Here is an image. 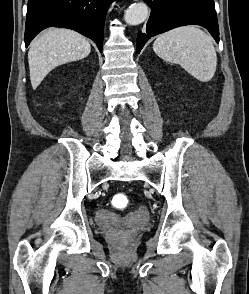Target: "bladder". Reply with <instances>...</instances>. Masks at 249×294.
<instances>
[{
    "label": "bladder",
    "instance_id": "1",
    "mask_svg": "<svg viewBox=\"0 0 249 294\" xmlns=\"http://www.w3.org/2000/svg\"><path fill=\"white\" fill-rule=\"evenodd\" d=\"M96 220L100 224H110L115 221V218L109 213L102 211L96 213Z\"/></svg>",
    "mask_w": 249,
    "mask_h": 294
}]
</instances>
